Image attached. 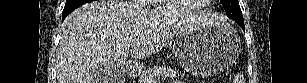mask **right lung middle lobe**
<instances>
[{
  "label": "right lung middle lobe",
  "instance_id": "1",
  "mask_svg": "<svg viewBox=\"0 0 307 83\" xmlns=\"http://www.w3.org/2000/svg\"><path fill=\"white\" fill-rule=\"evenodd\" d=\"M70 1H72V0H66V3L70 2Z\"/></svg>",
  "mask_w": 307,
  "mask_h": 83
}]
</instances>
